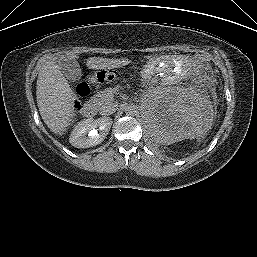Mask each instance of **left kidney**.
Returning a JSON list of instances; mask_svg holds the SVG:
<instances>
[{
    "mask_svg": "<svg viewBox=\"0 0 257 257\" xmlns=\"http://www.w3.org/2000/svg\"><path fill=\"white\" fill-rule=\"evenodd\" d=\"M143 118L154 141L168 145L201 136L210 122L205 99L182 88L152 94L144 105Z\"/></svg>",
    "mask_w": 257,
    "mask_h": 257,
    "instance_id": "left-kidney-1",
    "label": "left kidney"
}]
</instances>
